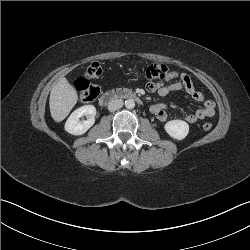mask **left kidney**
Returning a JSON list of instances; mask_svg holds the SVG:
<instances>
[{"label":"left kidney","mask_w":250,"mask_h":250,"mask_svg":"<svg viewBox=\"0 0 250 250\" xmlns=\"http://www.w3.org/2000/svg\"><path fill=\"white\" fill-rule=\"evenodd\" d=\"M164 129L170 137L176 140H183L189 133L188 123L182 120L168 121Z\"/></svg>","instance_id":"5707ae66"}]
</instances>
